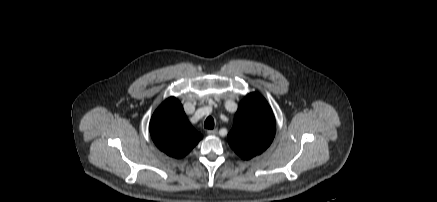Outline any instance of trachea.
<instances>
[{
    "label": "trachea",
    "mask_w": 437,
    "mask_h": 202,
    "mask_svg": "<svg viewBox=\"0 0 437 202\" xmlns=\"http://www.w3.org/2000/svg\"><path fill=\"white\" fill-rule=\"evenodd\" d=\"M204 127L206 129H213L214 128V119L211 116L206 118V120L204 122Z\"/></svg>",
    "instance_id": "1"
}]
</instances>
